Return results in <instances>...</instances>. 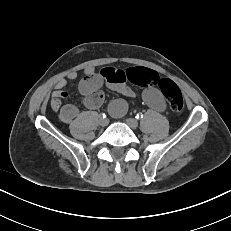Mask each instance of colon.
Segmentation results:
<instances>
[{
	"instance_id": "1",
	"label": "colon",
	"mask_w": 231,
	"mask_h": 231,
	"mask_svg": "<svg viewBox=\"0 0 231 231\" xmlns=\"http://www.w3.org/2000/svg\"><path fill=\"white\" fill-rule=\"evenodd\" d=\"M129 82L140 87L158 86L163 92L170 109L174 112L182 111L184 100L177 85L169 80L161 78L155 71L146 68H132L126 71Z\"/></svg>"
}]
</instances>
